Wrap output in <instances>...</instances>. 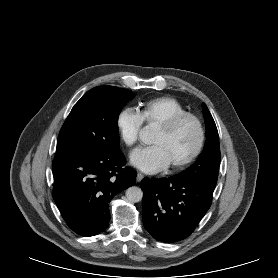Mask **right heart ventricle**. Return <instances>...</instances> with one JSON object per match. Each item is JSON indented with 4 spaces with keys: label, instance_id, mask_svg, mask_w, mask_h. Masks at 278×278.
Masks as SVG:
<instances>
[{
    "label": "right heart ventricle",
    "instance_id": "1",
    "mask_svg": "<svg viewBox=\"0 0 278 278\" xmlns=\"http://www.w3.org/2000/svg\"><path fill=\"white\" fill-rule=\"evenodd\" d=\"M138 112L147 125H160L170 118L186 113V108L173 97L162 96L143 101Z\"/></svg>",
    "mask_w": 278,
    "mask_h": 278
}]
</instances>
